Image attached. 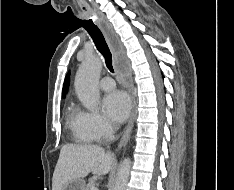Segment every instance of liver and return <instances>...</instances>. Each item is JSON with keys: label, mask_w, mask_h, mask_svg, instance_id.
<instances>
[{"label": "liver", "mask_w": 234, "mask_h": 190, "mask_svg": "<svg viewBox=\"0 0 234 190\" xmlns=\"http://www.w3.org/2000/svg\"><path fill=\"white\" fill-rule=\"evenodd\" d=\"M113 164V155L100 146L66 144L60 150L52 178V190H62L69 180L84 178L89 173L106 175Z\"/></svg>", "instance_id": "obj_1"}]
</instances>
